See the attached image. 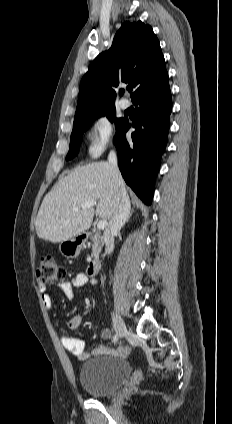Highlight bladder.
<instances>
[{
    "mask_svg": "<svg viewBox=\"0 0 232 424\" xmlns=\"http://www.w3.org/2000/svg\"><path fill=\"white\" fill-rule=\"evenodd\" d=\"M131 374L128 361L117 357H97L83 363L78 380L93 397H108L116 393Z\"/></svg>",
    "mask_w": 232,
    "mask_h": 424,
    "instance_id": "obj_1",
    "label": "bladder"
}]
</instances>
